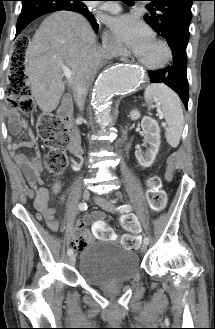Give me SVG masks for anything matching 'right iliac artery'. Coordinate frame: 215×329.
Here are the masks:
<instances>
[{
  "mask_svg": "<svg viewBox=\"0 0 215 329\" xmlns=\"http://www.w3.org/2000/svg\"><path fill=\"white\" fill-rule=\"evenodd\" d=\"M79 209L81 211L87 210V204L85 202L80 203L79 204ZM67 253H68L69 256H71L73 254V250L72 249H68Z\"/></svg>",
  "mask_w": 215,
  "mask_h": 329,
  "instance_id": "obj_1",
  "label": "right iliac artery"
}]
</instances>
